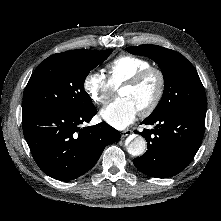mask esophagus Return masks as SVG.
I'll use <instances>...</instances> for the list:
<instances>
[{"mask_svg":"<svg viewBox=\"0 0 221 221\" xmlns=\"http://www.w3.org/2000/svg\"><path fill=\"white\" fill-rule=\"evenodd\" d=\"M132 133H133L132 130L127 129V130L122 131L121 135H122V137H127V136L131 135Z\"/></svg>","mask_w":221,"mask_h":221,"instance_id":"obj_1","label":"esophagus"}]
</instances>
